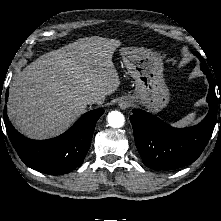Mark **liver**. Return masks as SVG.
Returning a JSON list of instances; mask_svg holds the SVG:
<instances>
[{
  "label": "liver",
  "mask_w": 221,
  "mask_h": 221,
  "mask_svg": "<svg viewBox=\"0 0 221 221\" xmlns=\"http://www.w3.org/2000/svg\"><path fill=\"white\" fill-rule=\"evenodd\" d=\"M120 45L116 39L86 37L37 58L13 77L10 121L29 138L62 133L85 111L88 97L102 104L119 87L112 57Z\"/></svg>",
  "instance_id": "obj_1"
}]
</instances>
